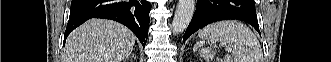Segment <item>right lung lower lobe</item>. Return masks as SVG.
<instances>
[{"mask_svg": "<svg viewBox=\"0 0 331 62\" xmlns=\"http://www.w3.org/2000/svg\"><path fill=\"white\" fill-rule=\"evenodd\" d=\"M150 9L151 4L147 0H72L64 39L86 20L106 18L126 25L145 47Z\"/></svg>", "mask_w": 331, "mask_h": 62, "instance_id": "98d812e1", "label": "right lung lower lobe"}]
</instances>
